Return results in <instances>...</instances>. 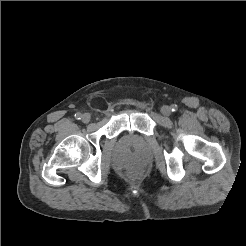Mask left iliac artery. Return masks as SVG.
<instances>
[{"label": "left iliac artery", "mask_w": 246, "mask_h": 246, "mask_svg": "<svg viewBox=\"0 0 246 246\" xmlns=\"http://www.w3.org/2000/svg\"><path fill=\"white\" fill-rule=\"evenodd\" d=\"M177 109H178L177 105L173 104V105L171 106V110H172L173 112L177 111Z\"/></svg>", "instance_id": "44dca946"}]
</instances>
